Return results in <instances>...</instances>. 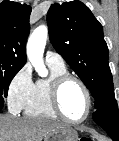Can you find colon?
<instances>
[{
    "label": "colon",
    "mask_w": 119,
    "mask_h": 141,
    "mask_svg": "<svg viewBox=\"0 0 119 141\" xmlns=\"http://www.w3.org/2000/svg\"><path fill=\"white\" fill-rule=\"evenodd\" d=\"M78 141H91V139L88 137H82V138L78 139Z\"/></svg>",
    "instance_id": "colon-1"
}]
</instances>
